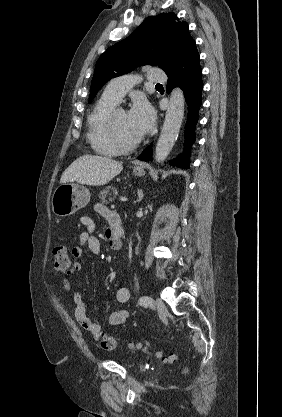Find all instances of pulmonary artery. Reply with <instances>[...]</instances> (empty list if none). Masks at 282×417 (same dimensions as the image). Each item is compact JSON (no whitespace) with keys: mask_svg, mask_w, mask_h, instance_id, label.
Returning <instances> with one entry per match:
<instances>
[{"mask_svg":"<svg viewBox=\"0 0 282 417\" xmlns=\"http://www.w3.org/2000/svg\"><path fill=\"white\" fill-rule=\"evenodd\" d=\"M150 72L151 74H147L144 77L147 83H168V74H160V65H151ZM135 82L134 77L131 75L117 77L108 83L103 96L119 103L126 92L134 86Z\"/></svg>","mask_w":282,"mask_h":417,"instance_id":"pulmonary-artery-1","label":"pulmonary artery"}]
</instances>
